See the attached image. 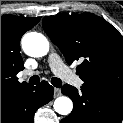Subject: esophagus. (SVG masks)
<instances>
[{"label": "esophagus", "instance_id": "obj_1", "mask_svg": "<svg viewBox=\"0 0 123 123\" xmlns=\"http://www.w3.org/2000/svg\"><path fill=\"white\" fill-rule=\"evenodd\" d=\"M61 95V90L59 88H54V97H59Z\"/></svg>", "mask_w": 123, "mask_h": 123}]
</instances>
